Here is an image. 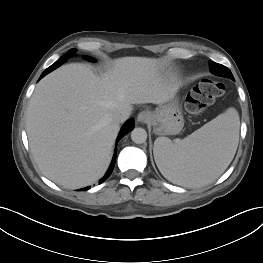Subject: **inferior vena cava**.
I'll list each match as a JSON object with an SVG mask.
<instances>
[{
  "mask_svg": "<svg viewBox=\"0 0 263 263\" xmlns=\"http://www.w3.org/2000/svg\"><path fill=\"white\" fill-rule=\"evenodd\" d=\"M129 113L127 111H118L113 115V120L118 123H122L127 120Z\"/></svg>",
  "mask_w": 263,
  "mask_h": 263,
  "instance_id": "inferior-vena-cava-1",
  "label": "inferior vena cava"
}]
</instances>
